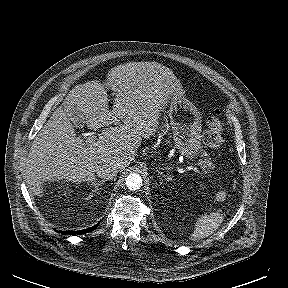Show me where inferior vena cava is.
I'll use <instances>...</instances> for the list:
<instances>
[{
    "label": "inferior vena cava",
    "instance_id": "obj_1",
    "mask_svg": "<svg viewBox=\"0 0 288 288\" xmlns=\"http://www.w3.org/2000/svg\"><path fill=\"white\" fill-rule=\"evenodd\" d=\"M120 168V164L113 161H107L97 165L95 168V172L97 173L98 177L106 180H111L117 175Z\"/></svg>",
    "mask_w": 288,
    "mask_h": 288
}]
</instances>
